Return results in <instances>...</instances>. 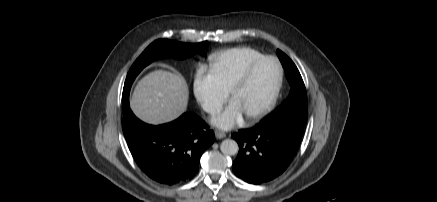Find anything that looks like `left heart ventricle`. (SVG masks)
Segmentation results:
<instances>
[{
  "label": "left heart ventricle",
  "mask_w": 437,
  "mask_h": 202,
  "mask_svg": "<svg viewBox=\"0 0 437 202\" xmlns=\"http://www.w3.org/2000/svg\"><path fill=\"white\" fill-rule=\"evenodd\" d=\"M278 76V67L274 61L268 60L257 66L252 77L238 90L232 100L243 110L244 116H249L268 101Z\"/></svg>",
  "instance_id": "1"
}]
</instances>
